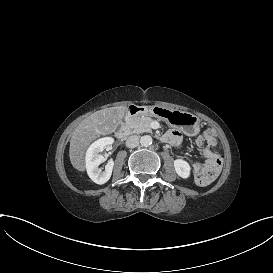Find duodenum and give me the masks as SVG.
<instances>
[{"label":"duodenum","mask_w":273,"mask_h":273,"mask_svg":"<svg viewBox=\"0 0 273 273\" xmlns=\"http://www.w3.org/2000/svg\"><path fill=\"white\" fill-rule=\"evenodd\" d=\"M145 111L146 110L142 107L131 106L127 111V119H130L138 114H143ZM128 132V128L126 126H122L117 130L116 136L118 139H124L128 135Z\"/></svg>","instance_id":"obj_1"}]
</instances>
